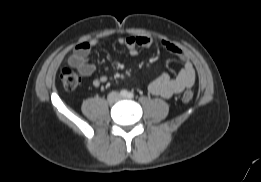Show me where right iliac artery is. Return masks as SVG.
<instances>
[{
	"mask_svg": "<svg viewBox=\"0 0 261 182\" xmlns=\"http://www.w3.org/2000/svg\"><path fill=\"white\" fill-rule=\"evenodd\" d=\"M127 94H128L127 91L124 90V89L120 91V95H121L122 97H126Z\"/></svg>",
	"mask_w": 261,
	"mask_h": 182,
	"instance_id": "right-iliac-artery-1",
	"label": "right iliac artery"
}]
</instances>
